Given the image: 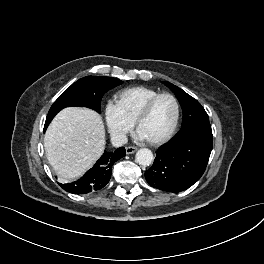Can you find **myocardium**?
Segmentation results:
<instances>
[{
    "label": "myocardium",
    "instance_id": "obj_1",
    "mask_svg": "<svg viewBox=\"0 0 264 264\" xmlns=\"http://www.w3.org/2000/svg\"><path fill=\"white\" fill-rule=\"evenodd\" d=\"M165 96L170 97L174 101L175 108H176L174 122H173L171 128L169 129V131L166 134H164L163 136H161L160 138L146 139L152 145H161V144L169 141L174 136V134L178 128L181 109H180L179 101L176 98V96L173 95L172 93H169V92H162V93H159V94L153 96L152 98H150L146 102V104L143 106V108L141 109V111L139 112V114L135 120L136 129L139 131L140 125L149 116V114H150L153 106L155 105V103L160 98L165 97Z\"/></svg>",
    "mask_w": 264,
    "mask_h": 264
}]
</instances>
